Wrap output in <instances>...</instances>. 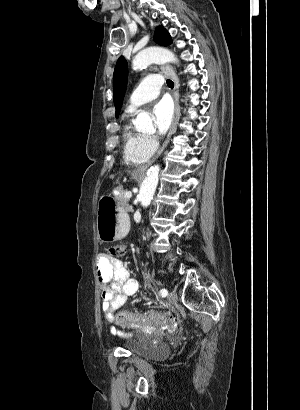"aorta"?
Returning a JSON list of instances; mask_svg holds the SVG:
<instances>
[{
  "mask_svg": "<svg viewBox=\"0 0 300 410\" xmlns=\"http://www.w3.org/2000/svg\"><path fill=\"white\" fill-rule=\"evenodd\" d=\"M177 63L178 59L175 55L163 48L151 47L140 51L132 61L134 70H142L152 63ZM134 126L137 131H149L152 129V120L147 112L141 111L135 121ZM160 166L154 165L148 169V172L141 184L139 191V199L143 207H148L153 199L156 187L159 181Z\"/></svg>",
  "mask_w": 300,
  "mask_h": 410,
  "instance_id": "aorta-1",
  "label": "aorta"
}]
</instances>
